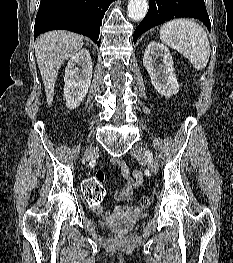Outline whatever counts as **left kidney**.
<instances>
[{
  "mask_svg": "<svg viewBox=\"0 0 233 263\" xmlns=\"http://www.w3.org/2000/svg\"><path fill=\"white\" fill-rule=\"evenodd\" d=\"M159 57L163 59L157 65L156 60ZM143 65L158 93L169 98L179 92V83L174 74L173 59L165 45L155 41L150 42L144 52Z\"/></svg>",
  "mask_w": 233,
  "mask_h": 263,
  "instance_id": "1",
  "label": "left kidney"
}]
</instances>
